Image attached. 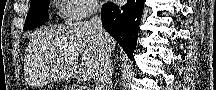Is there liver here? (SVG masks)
Wrapping results in <instances>:
<instances>
[{
  "instance_id": "6515ba94",
  "label": "liver",
  "mask_w": 216,
  "mask_h": 90,
  "mask_svg": "<svg viewBox=\"0 0 216 90\" xmlns=\"http://www.w3.org/2000/svg\"><path fill=\"white\" fill-rule=\"evenodd\" d=\"M116 42L111 38L110 48ZM99 40L89 22L68 20L59 26H46L33 34L25 52V64H40L42 74L51 80H70L77 72L92 78V68L99 60Z\"/></svg>"
}]
</instances>
